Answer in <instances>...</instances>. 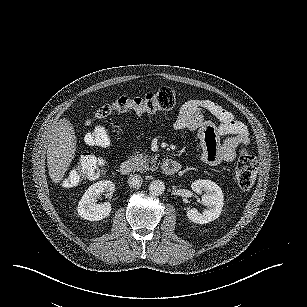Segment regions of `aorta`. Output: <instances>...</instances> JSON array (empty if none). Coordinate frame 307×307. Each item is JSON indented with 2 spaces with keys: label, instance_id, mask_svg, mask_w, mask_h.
<instances>
[{
  "label": "aorta",
  "instance_id": "obj_1",
  "mask_svg": "<svg viewBox=\"0 0 307 307\" xmlns=\"http://www.w3.org/2000/svg\"><path fill=\"white\" fill-rule=\"evenodd\" d=\"M149 192L152 196H160L164 193L165 191V184L161 180H153L149 184Z\"/></svg>",
  "mask_w": 307,
  "mask_h": 307
}]
</instances>
